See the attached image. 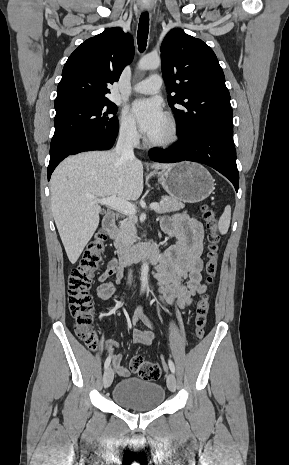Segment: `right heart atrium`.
Wrapping results in <instances>:
<instances>
[{
  "instance_id": "d8ad5b80",
  "label": "right heart atrium",
  "mask_w": 289,
  "mask_h": 465,
  "mask_svg": "<svg viewBox=\"0 0 289 465\" xmlns=\"http://www.w3.org/2000/svg\"><path fill=\"white\" fill-rule=\"evenodd\" d=\"M119 136L128 143H135L139 139L136 122L126 110L122 112L119 119Z\"/></svg>"
}]
</instances>
